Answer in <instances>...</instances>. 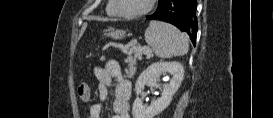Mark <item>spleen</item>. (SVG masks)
I'll use <instances>...</instances> for the list:
<instances>
[{
  "mask_svg": "<svg viewBox=\"0 0 273 118\" xmlns=\"http://www.w3.org/2000/svg\"><path fill=\"white\" fill-rule=\"evenodd\" d=\"M145 41L160 58L185 55L189 44L187 37L170 24L151 21L145 31Z\"/></svg>",
  "mask_w": 273,
  "mask_h": 118,
  "instance_id": "3e777b00",
  "label": "spleen"
}]
</instances>
